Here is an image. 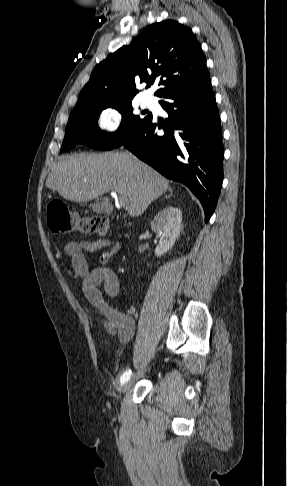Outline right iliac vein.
<instances>
[{
    "instance_id": "1",
    "label": "right iliac vein",
    "mask_w": 287,
    "mask_h": 486,
    "mask_svg": "<svg viewBox=\"0 0 287 486\" xmlns=\"http://www.w3.org/2000/svg\"><path fill=\"white\" fill-rule=\"evenodd\" d=\"M144 369H145V368H142V370H141V371H139V372H138V373L135 375V377H134L132 380H129V381L125 382V383L122 385V387H121V389H120V390H121L122 392H126V391H127V390H128V389H129V388L132 386V384H133L134 380H135V379H138L139 377H141V376H142Z\"/></svg>"
}]
</instances>
